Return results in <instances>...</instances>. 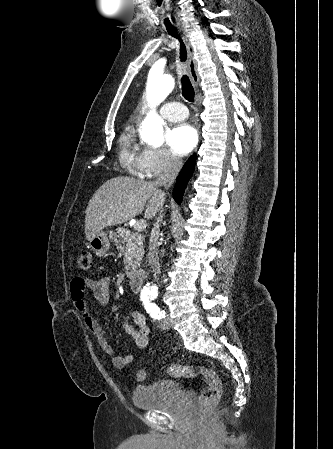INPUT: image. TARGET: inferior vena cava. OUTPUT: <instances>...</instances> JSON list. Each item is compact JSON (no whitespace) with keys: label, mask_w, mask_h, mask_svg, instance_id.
Listing matches in <instances>:
<instances>
[{"label":"inferior vena cava","mask_w":333,"mask_h":449,"mask_svg":"<svg viewBox=\"0 0 333 449\" xmlns=\"http://www.w3.org/2000/svg\"><path fill=\"white\" fill-rule=\"evenodd\" d=\"M181 167L182 160L178 157L171 156L168 166L164 170V173L159 177L157 184L160 186L169 187L176 179ZM162 218L163 215L160 212L159 217L156 219V222L152 229V234L149 241L148 261L155 278L160 273L157 246L160 237V223L162 221Z\"/></svg>","instance_id":"obj_1"}]
</instances>
